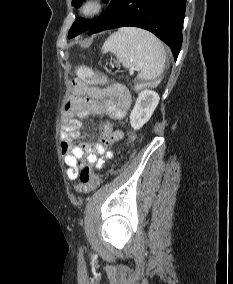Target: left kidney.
Here are the masks:
<instances>
[{"mask_svg": "<svg viewBox=\"0 0 233 284\" xmlns=\"http://www.w3.org/2000/svg\"><path fill=\"white\" fill-rule=\"evenodd\" d=\"M159 95L148 89L142 90L136 100L130 114V124L135 130H139L147 123L159 103Z\"/></svg>", "mask_w": 233, "mask_h": 284, "instance_id": "obj_1", "label": "left kidney"}]
</instances>
